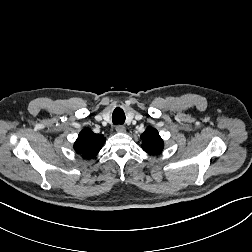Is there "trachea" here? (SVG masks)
I'll use <instances>...</instances> for the list:
<instances>
[{
    "mask_svg": "<svg viewBox=\"0 0 252 252\" xmlns=\"http://www.w3.org/2000/svg\"><path fill=\"white\" fill-rule=\"evenodd\" d=\"M112 122L115 125L124 124L125 122V114L121 108H116L112 115Z\"/></svg>",
    "mask_w": 252,
    "mask_h": 252,
    "instance_id": "trachea-1",
    "label": "trachea"
}]
</instances>
